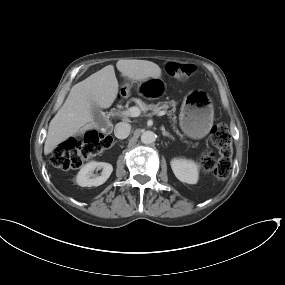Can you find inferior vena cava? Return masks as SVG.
<instances>
[{"label": "inferior vena cava", "instance_id": "inferior-vena-cava-1", "mask_svg": "<svg viewBox=\"0 0 285 285\" xmlns=\"http://www.w3.org/2000/svg\"><path fill=\"white\" fill-rule=\"evenodd\" d=\"M131 125L126 122H119L115 125L114 135L118 139H125L129 136Z\"/></svg>", "mask_w": 285, "mask_h": 285}]
</instances>
